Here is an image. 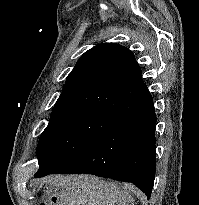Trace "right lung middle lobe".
<instances>
[{
    "label": "right lung middle lobe",
    "instance_id": "dd1d6c3e",
    "mask_svg": "<svg viewBox=\"0 0 199 205\" xmlns=\"http://www.w3.org/2000/svg\"><path fill=\"white\" fill-rule=\"evenodd\" d=\"M121 121L120 118L91 108L52 112L37 147L39 170L45 176L76 154L99 141Z\"/></svg>",
    "mask_w": 199,
    "mask_h": 205
}]
</instances>
